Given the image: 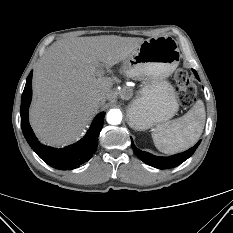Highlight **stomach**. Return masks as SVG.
I'll return each mask as SVG.
<instances>
[{"label": "stomach", "instance_id": "0dacf381", "mask_svg": "<svg viewBox=\"0 0 233 233\" xmlns=\"http://www.w3.org/2000/svg\"><path fill=\"white\" fill-rule=\"evenodd\" d=\"M180 58L177 42L169 36H158L144 40L123 60V73L143 80L137 97L127 109L131 128L148 130L168 121L178 111L175 90L166 79L176 70Z\"/></svg>", "mask_w": 233, "mask_h": 233}]
</instances>
